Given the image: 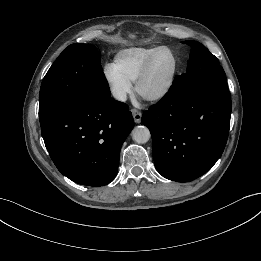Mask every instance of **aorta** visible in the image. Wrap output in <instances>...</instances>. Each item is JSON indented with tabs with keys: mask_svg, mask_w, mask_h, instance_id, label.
Listing matches in <instances>:
<instances>
[{
	"mask_svg": "<svg viewBox=\"0 0 261 261\" xmlns=\"http://www.w3.org/2000/svg\"><path fill=\"white\" fill-rule=\"evenodd\" d=\"M150 137V131L146 126H137L132 130V139L138 144L148 142Z\"/></svg>",
	"mask_w": 261,
	"mask_h": 261,
	"instance_id": "aorta-1",
	"label": "aorta"
}]
</instances>
